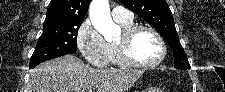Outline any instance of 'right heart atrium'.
I'll use <instances>...</instances> for the list:
<instances>
[{
    "mask_svg": "<svg viewBox=\"0 0 225 92\" xmlns=\"http://www.w3.org/2000/svg\"><path fill=\"white\" fill-rule=\"evenodd\" d=\"M77 45L83 57L94 67H106L110 61L109 43H107L90 19H85L80 25Z\"/></svg>",
    "mask_w": 225,
    "mask_h": 92,
    "instance_id": "right-heart-atrium-1",
    "label": "right heart atrium"
}]
</instances>
